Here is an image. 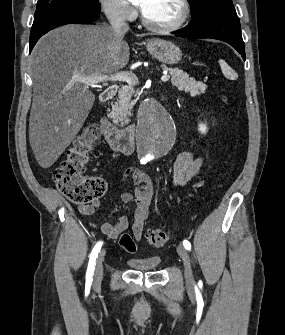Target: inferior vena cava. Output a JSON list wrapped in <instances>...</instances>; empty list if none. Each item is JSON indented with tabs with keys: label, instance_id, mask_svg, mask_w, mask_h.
<instances>
[{
	"label": "inferior vena cava",
	"instance_id": "602c4592",
	"mask_svg": "<svg viewBox=\"0 0 285 335\" xmlns=\"http://www.w3.org/2000/svg\"><path fill=\"white\" fill-rule=\"evenodd\" d=\"M125 10L126 4L125 6H121V8H119V14H112L109 20L111 28H113L114 32H117V34H120V36H124V34H126L129 30V26L125 22V16L124 14H121V12H125Z\"/></svg>",
	"mask_w": 285,
	"mask_h": 335
}]
</instances>
